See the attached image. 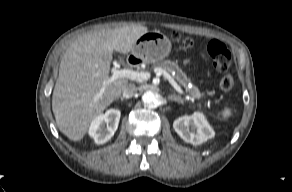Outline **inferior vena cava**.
I'll return each instance as SVG.
<instances>
[{"label":"inferior vena cava","instance_id":"obj_1","mask_svg":"<svg viewBox=\"0 0 292 192\" xmlns=\"http://www.w3.org/2000/svg\"><path fill=\"white\" fill-rule=\"evenodd\" d=\"M137 87L134 84H128L122 91L124 98H131L137 92Z\"/></svg>","mask_w":292,"mask_h":192}]
</instances>
